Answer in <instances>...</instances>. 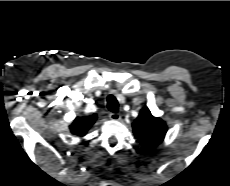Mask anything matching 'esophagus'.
Returning a JSON list of instances; mask_svg holds the SVG:
<instances>
[{"instance_id": "34e87169", "label": "esophagus", "mask_w": 230, "mask_h": 186, "mask_svg": "<svg viewBox=\"0 0 230 186\" xmlns=\"http://www.w3.org/2000/svg\"><path fill=\"white\" fill-rule=\"evenodd\" d=\"M109 117L111 120L118 121L121 119V115L119 113H110Z\"/></svg>"}]
</instances>
